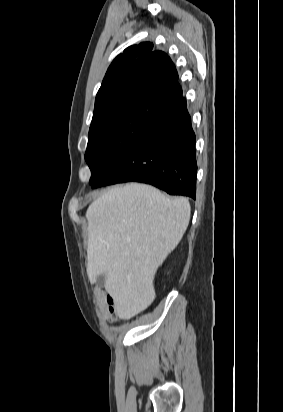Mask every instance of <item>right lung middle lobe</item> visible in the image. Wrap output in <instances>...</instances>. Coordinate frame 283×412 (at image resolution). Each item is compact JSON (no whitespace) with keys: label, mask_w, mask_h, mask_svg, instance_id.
<instances>
[{"label":"right lung middle lobe","mask_w":283,"mask_h":412,"mask_svg":"<svg viewBox=\"0 0 283 412\" xmlns=\"http://www.w3.org/2000/svg\"><path fill=\"white\" fill-rule=\"evenodd\" d=\"M163 112L154 108H129L91 123L85 160L90 184L98 180Z\"/></svg>","instance_id":"1"}]
</instances>
